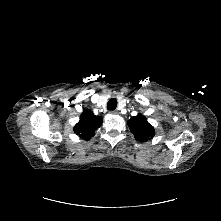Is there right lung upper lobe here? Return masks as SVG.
Listing matches in <instances>:
<instances>
[{
    "label": "right lung upper lobe",
    "instance_id": "cb5924a9",
    "mask_svg": "<svg viewBox=\"0 0 221 221\" xmlns=\"http://www.w3.org/2000/svg\"><path fill=\"white\" fill-rule=\"evenodd\" d=\"M101 125L102 118L94 115L91 110L85 109L80 116L79 122L74 126V132L82 139L89 140Z\"/></svg>",
    "mask_w": 221,
    "mask_h": 221
}]
</instances>
